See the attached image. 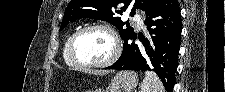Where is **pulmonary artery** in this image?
I'll return each instance as SVG.
<instances>
[{
  "label": "pulmonary artery",
  "instance_id": "1",
  "mask_svg": "<svg viewBox=\"0 0 225 92\" xmlns=\"http://www.w3.org/2000/svg\"><path fill=\"white\" fill-rule=\"evenodd\" d=\"M133 21L139 26L142 27L144 25V17L141 14H135L133 17Z\"/></svg>",
  "mask_w": 225,
  "mask_h": 92
}]
</instances>
